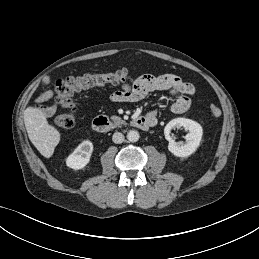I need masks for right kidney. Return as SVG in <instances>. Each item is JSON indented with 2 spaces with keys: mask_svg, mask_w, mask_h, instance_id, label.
<instances>
[{
  "mask_svg": "<svg viewBox=\"0 0 259 259\" xmlns=\"http://www.w3.org/2000/svg\"><path fill=\"white\" fill-rule=\"evenodd\" d=\"M93 143L89 140L80 143L67 157L66 165L74 170L83 169L90 161Z\"/></svg>",
  "mask_w": 259,
  "mask_h": 259,
  "instance_id": "1",
  "label": "right kidney"
}]
</instances>
